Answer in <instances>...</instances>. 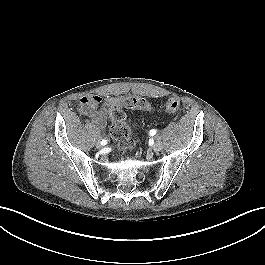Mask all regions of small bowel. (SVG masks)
I'll use <instances>...</instances> for the list:
<instances>
[{
    "label": "small bowel",
    "instance_id": "obj_1",
    "mask_svg": "<svg viewBox=\"0 0 265 265\" xmlns=\"http://www.w3.org/2000/svg\"><path fill=\"white\" fill-rule=\"evenodd\" d=\"M118 101L117 97L104 99L98 94H91L80 98L79 107L84 115L103 127L106 124L107 113Z\"/></svg>",
    "mask_w": 265,
    "mask_h": 265
}]
</instances>
